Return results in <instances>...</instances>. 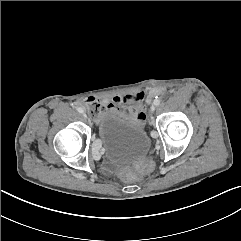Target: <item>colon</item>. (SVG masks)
<instances>
[{
  "instance_id": "colon-1",
  "label": "colon",
  "mask_w": 241,
  "mask_h": 241,
  "mask_svg": "<svg viewBox=\"0 0 241 241\" xmlns=\"http://www.w3.org/2000/svg\"><path fill=\"white\" fill-rule=\"evenodd\" d=\"M85 108L92 117L98 118L103 114L106 107L98 99L90 97L85 102ZM150 169V163L141 162L138 163L135 168L123 169L120 174L128 181H136L141 177L142 174L150 171Z\"/></svg>"
}]
</instances>
